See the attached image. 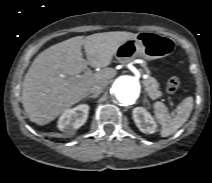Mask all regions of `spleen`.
<instances>
[{"label": "spleen", "mask_w": 212, "mask_h": 183, "mask_svg": "<svg viewBox=\"0 0 212 183\" xmlns=\"http://www.w3.org/2000/svg\"><path fill=\"white\" fill-rule=\"evenodd\" d=\"M193 109V98H185L177 107L176 115L171 117L162 102L154 103V114L162 126L161 136L167 137L175 133L189 118Z\"/></svg>", "instance_id": "spleen-1"}]
</instances>
